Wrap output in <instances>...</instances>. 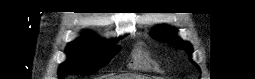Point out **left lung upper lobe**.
Listing matches in <instances>:
<instances>
[{"instance_id": "1", "label": "left lung upper lobe", "mask_w": 255, "mask_h": 79, "mask_svg": "<svg viewBox=\"0 0 255 79\" xmlns=\"http://www.w3.org/2000/svg\"><path fill=\"white\" fill-rule=\"evenodd\" d=\"M151 36L156 40L166 42L173 46L187 50L189 54V58L191 60V53L193 51L192 46L190 45V43L186 41H182L179 38H177L171 28L165 27V26L158 27L154 30ZM196 67L198 66L196 65Z\"/></svg>"}]
</instances>
